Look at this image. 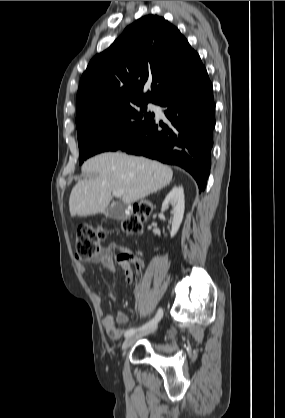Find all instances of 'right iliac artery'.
Returning <instances> with one entry per match:
<instances>
[{
    "instance_id": "82829eb1",
    "label": "right iliac artery",
    "mask_w": 285,
    "mask_h": 418,
    "mask_svg": "<svg viewBox=\"0 0 285 418\" xmlns=\"http://www.w3.org/2000/svg\"><path fill=\"white\" fill-rule=\"evenodd\" d=\"M163 316V310L160 308L157 312V314L155 315V317L150 320L149 322H147L146 324H144L143 326L139 327V328H130L126 331L125 333V337H129L133 334H135L136 332H141V331H145L148 330L149 328L153 327L154 325H156L160 319Z\"/></svg>"
}]
</instances>
